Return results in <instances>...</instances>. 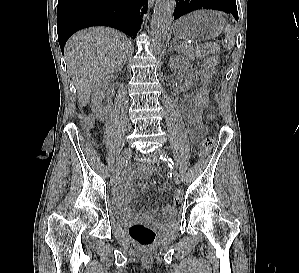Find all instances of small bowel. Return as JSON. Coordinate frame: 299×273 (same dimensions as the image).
<instances>
[{"instance_id": "small-bowel-1", "label": "small bowel", "mask_w": 299, "mask_h": 273, "mask_svg": "<svg viewBox=\"0 0 299 273\" xmlns=\"http://www.w3.org/2000/svg\"><path fill=\"white\" fill-rule=\"evenodd\" d=\"M194 98L192 95H187L181 104V112L188 127L189 133L193 139H197L200 136V133L205 130V126L202 123L199 117H196L194 114ZM151 168H137L136 170L129 173L123 180L122 184L116 190V199L118 206L121 211L127 213L126 204L133 197L134 191L131 187V184L135 180L147 179L152 174ZM142 188L146 190L147 185H142ZM168 190L167 187L161 190V193H165ZM163 215L165 219L170 220L175 215V208L171 205L166 206L163 209ZM139 218L144 221L155 222L154 214L145 210L140 215Z\"/></svg>"}]
</instances>
